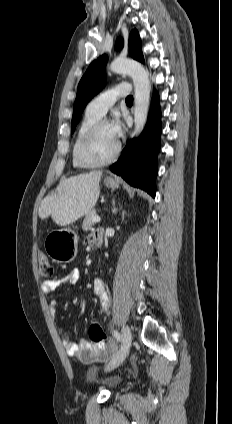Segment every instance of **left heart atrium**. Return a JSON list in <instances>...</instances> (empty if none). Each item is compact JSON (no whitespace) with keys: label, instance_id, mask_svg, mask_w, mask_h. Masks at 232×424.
Returning <instances> with one entry per match:
<instances>
[{"label":"left heart atrium","instance_id":"39dd6f15","mask_svg":"<svg viewBox=\"0 0 232 424\" xmlns=\"http://www.w3.org/2000/svg\"><path fill=\"white\" fill-rule=\"evenodd\" d=\"M114 137L118 140L123 135V126L119 118H115L109 124Z\"/></svg>","mask_w":232,"mask_h":424}]
</instances>
